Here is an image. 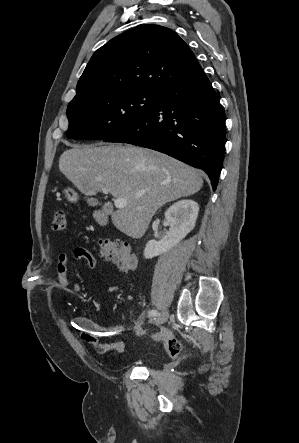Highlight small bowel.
<instances>
[{
  "label": "small bowel",
  "instance_id": "c3829d8e",
  "mask_svg": "<svg viewBox=\"0 0 299 443\" xmlns=\"http://www.w3.org/2000/svg\"><path fill=\"white\" fill-rule=\"evenodd\" d=\"M74 257L77 260H85L90 270H96L97 260L87 249L76 248L74 250ZM68 263L69 255L66 252L60 253L56 268L59 287L63 290L71 288L74 292H78L80 290V286L70 279ZM146 312V310H143L141 315L134 320L131 327H128L124 324L103 326L96 321L81 315L75 316L73 322L80 332L81 338L85 342L92 345L94 351L97 354L104 355L111 352L122 354L125 351L124 341L116 339L110 342H102L99 338L116 336L119 335V333H123L127 330H131L138 337H143L144 330L142 328V321L146 316Z\"/></svg>",
  "mask_w": 299,
  "mask_h": 443
}]
</instances>
